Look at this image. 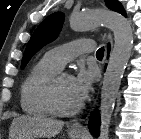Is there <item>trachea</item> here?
Segmentation results:
<instances>
[{"label": "trachea", "instance_id": "trachea-1", "mask_svg": "<svg viewBox=\"0 0 141 139\" xmlns=\"http://www.w3.org/2000/svg\"><path fill=\"white\" fill-rule=\"evenodd\" d=\"M96 56L102 58L104 56V47L97 50Z\"/></svg>", "mask_w": 141, "mask_h": 139}]
</instances>
